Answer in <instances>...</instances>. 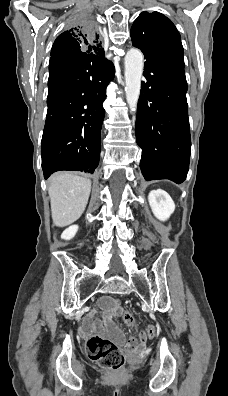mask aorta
<instances>
[{
  "label": "aorta",
  "mask_w": 228,
  "mask_h": 396,
  "mask_svg": "<svg viewBox=\"0 0 228 396\" xmlns=\"http://www.w3.org/2000/svg\"><path fill=\"white\" fill-rule=\"evenodd\" d=\"M143 72V54L138 49H130L125 56V93L131 111H136L140 95Z\"/></svg>",
  "instance_id": "1"
}]
</instances>
